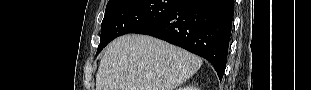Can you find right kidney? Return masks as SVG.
<instances>
[{"label":"right kidney","instance_id":"ca27d5eb","mask_svg":"<svg viewBox=\"0 0 311 90\" xmlns=\"http://www.w3.org/2000/svg\"><path fill=\"white\" fill-rule=\"evenodd\" d=\"M179 90H199L195 86H185L184 88H179Z\"/></svg>","mask_w":311,"mask_h":90}]
</instances>
